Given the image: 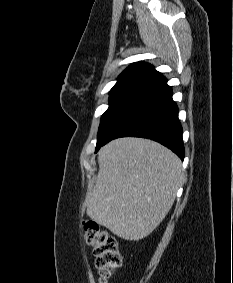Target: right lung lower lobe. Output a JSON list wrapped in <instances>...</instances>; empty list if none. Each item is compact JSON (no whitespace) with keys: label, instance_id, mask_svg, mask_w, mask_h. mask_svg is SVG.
I'll list each match as a JSON object with an SVG mask.
<instances>
[{"label":"right lung lower lobe","instance_id":"1","mask_svg":"<svg viewBox=\"0 0 233 283\" xmlns=\"http://www.w3.org/2000/svg\"><path fill=\"white\" fill-rule=\"evenodd\" d=\"M172 94L165 77L154 80L116 123L101 146L119 137H143L161 143L183 160L182 126Z\"/></svg>","mask_w":233,"mask_h":283}]
</instances>
